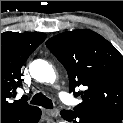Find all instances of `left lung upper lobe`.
I'll return each instance as SVG.
<instances>
[{"mask_svg": "<svg viewBox=\"0 0 123 123\" xmlns=\"http://www.w3.org/2000/svg\"><path fill=\"white\" fill-rule=\"evenodd\" d=\"M47 47L68 71L70 90L82 84L87 90L75 111L93 110L123 118V56L91 30L60 33Z\"/></svg>", "mask_w": 123, "mask_h": 123, "instance_id": "left-lung-upper-lobe-1", "label": "left lung upper lobe"}]
</instances>
